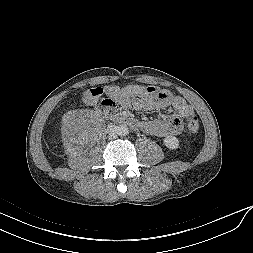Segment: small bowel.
<instances>
[{
    "label": "small bowel",
    "mask_w": 253,
    "mask_h": 253,
    "mask_svg": "<svg viewBox=\"0 0 253 253\" xmlns=\"http://www.w3.org/2000/svg\"><path fill=\"white\" fill-rule=\"evenodd\" d=\"M99 103L108 109L112 108L116 111L121 110L122 106L134 110H154L171 107L172 117L170 119H153L141 123V128L145 133L158 138L180 134L184 128V119L193 115L192 108L182 97L174 96L164 90H160L159 94L144 95L130 100L118 101L104 96L100 98Z\"/></svg>",
    "instance_id": "obj_1"
}]
</instances>
